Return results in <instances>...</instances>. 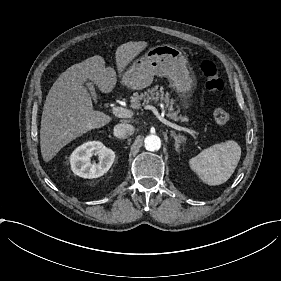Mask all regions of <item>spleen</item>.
<instances>
[{"label":"spleen","instance_id":"spleen-1","mask_svg":"<svg viewBox=\"0 0 281 281\" xmlns=\"http://www.w3.org/2000/svg\"><path fill=\"white\" fill-rule=\"evenodd\" d=\"M241 157L237 142L228 140L204 149L190 159V168L208 185L225 183L234 173Z\"/></svg>","mask_w":281,"mask_h":281}]
</instances>
